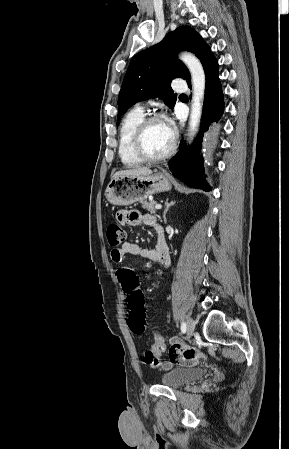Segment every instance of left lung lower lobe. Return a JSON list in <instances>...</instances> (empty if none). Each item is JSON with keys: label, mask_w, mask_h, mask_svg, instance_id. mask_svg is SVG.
Listing matches in <instances>:
<instances>
[{"label": "left lung lower lobe", "mask_w": 289, "mask_h": 449, "mask_svg": "<svg viewBox=\"0 0 289 449\" xmlns=\"http://www.w3.org/2000/svg\"><path fill=\"white\" fill-rule=\"evenodd\" d=\"M202 65L206 75V87L204 105L201 119L203 131L210 128L206 135V144L213 148L217 144V137L220 131L219 126H214L224 112V99L222 86L219 79L218 62L212 53H209L202 60ZM191 88L190 81L187 82ZM203 134H201L191 146H186L183 141L180 143V150L169 161L168 165L172 174L193 188L210 191L212 188L206 181L203 157H200V149Z\"/></svg>", "instance_id": "1"}]
</instances>
